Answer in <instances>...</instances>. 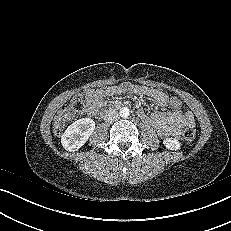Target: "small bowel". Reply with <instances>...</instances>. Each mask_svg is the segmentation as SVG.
Returning a JSON list of instances; mask_svg holds the SVG:
<instances>
[{
  "mask_svg": "<svg viewBox=\"0 0 231 231\" xmlns=\"http://www.w3.org/2000/svg\"><path fill=\"white\" fill-rule=\"evenodd\" d=\"M125 92H133L145 96L158 107L171 108L164 113H148L143 109L138 111L139 118L154 126L158 134L163 138H178L181 135L182 128L194 126L195 122L193 114L190 111L182 112L180 109L171 107L169 96L165 92L146 86L134 85L128 82L106 87L104 89L86 90L85 95L88 102V113L90 115H95L103 106L104 98Z\"/></svg>",
  "mask_w": 231,
  "mask_h": 231,
  "instance_id": "small-bowel-1",
  "label": "small bowel"
}]
</instances>
